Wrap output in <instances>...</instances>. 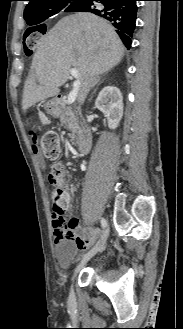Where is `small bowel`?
I'll list each match as a JSON object with an SVG mask.
<instances>
[{
  "instance_id": "c3829d8e",
  "label": "small bowel",
  "mask_w": 183,
  "mask_h": 329,
  "mask_svg": "<svg viewBox=\"0 0 183 329\" xmlns=\"http://www.w3.org/2000/svg\"><path fill=\"white\" fill-rule=\"evenodd\" d=\"M33 151L35 154H38V149L36 147H33ZM53 169H57L61 171V177L58 179L59 183L66 185L65 179L67 177V172L64 169V167L61 164H55L53 166ZM53 223V234L55 243H59L63 239H70L74 240L77 247L79 249H86L92 240V236L90 234H86L85 229H81L80 227V221L75 218H71L67 220V223L70 225L66 227L61 223L58 217L53 215L52 219ZM76 231H80L81 235H76ZM97 231H93V233H96Z\"/></svg>"
}]
</instances>
